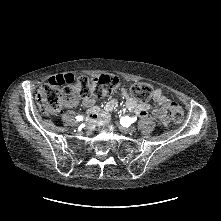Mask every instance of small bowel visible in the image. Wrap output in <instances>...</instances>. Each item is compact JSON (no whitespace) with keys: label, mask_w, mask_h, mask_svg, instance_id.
I'll return each mask as SVG.
<instances>
[{"label":"small bowel","mask_w":221,"mask_h":221,"mask_svg":"<svg viewBox=\"0 0 221 221\" xmlns=\"http://www.w3.org/2000/svg\"><path fill=\"white\" fill-rule=\"evenodd\" d=\"M77 76L74 72H63L61 74L54 73L50 76L49 81L52 85L58 86L60 84L69 85L76 81ZM122 96L125 100V107L127 110L135 112L140 117H146L148 115L149 107L146 104L138 103L132 97L128 95L125 89L121 90ZM153 99L156 102V106L152 109L153 116L163 125L167 126L169 123V102L172 99L167 98L162 90L155 89L153 92ZM82 103L88 109V120L90 123H98L99 125H105L108 123L110 118V113L117 107V101L115 99H110L106 102L103 109L96 106L97 98L94 96L86 97L80 100L70 99L66 102L67 107H75L79 103Z\"/></svg>","instance_id":"small-bowel-1"}]
</instances>
